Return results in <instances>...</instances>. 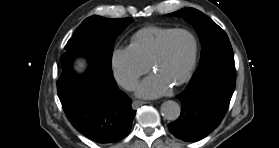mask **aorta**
<instances>
[{
	"instance_id": "obj_1",
	"label": "aorta",
	"mask_w": 279,
	"mask_h": 148,
	"mask_svg": "<svg viewBox=\"0 0 279 148\" xmlns=\"http://www.w3.org/2000/svg\"><path fill=\"white\" fill-rule=\"evenodd\" d=\"M181 108L179 104L173 100L165 101L161 105V113L167 120L174 121L180 116Z\"/></svg>"
}]
</instances>
